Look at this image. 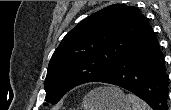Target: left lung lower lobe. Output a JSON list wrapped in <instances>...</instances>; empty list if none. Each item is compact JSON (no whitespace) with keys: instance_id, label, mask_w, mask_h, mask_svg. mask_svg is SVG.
Segmentation results:
<instances>
[{"instance_id":"0a47b994","label":"left lung lower lobe","mask_w":171,"mask_h":110,"mask_svg":"<svg viewBox=\"0 0 171 110\" xmlns=\"http://www.w3.org/2000/svg\"><path fill=\"white\" fill-rule=\"evenodd\" d=\"M94 82L123 87L147 102L153 110H168V76L152 27L115 67Z\"/></svg>"}]
</instances>
